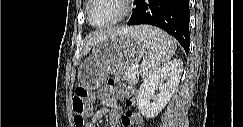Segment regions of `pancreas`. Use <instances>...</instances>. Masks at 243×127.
I'll return each mask as SVG.
<instances>
[{"label":"pancreas","mask_w":243,"mask_h":127,"mask_svg":"<svg viewBox=\"0 0 243 127\" xmlns=\"http://www.w3.org/2000/svg\"><path fill=\"white\" fill-rule=\"evenodd\" d=\"M129 82L133 83V84H137L138 83V78H136L135 76H133L132 74L129 75L128 79Z\"/></svg>","instance_id":"cf45deb5"}]
</instances>
